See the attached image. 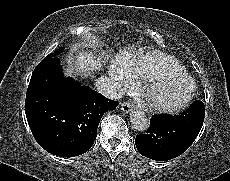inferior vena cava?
I'll use <instances>...</instances> for the list:
<instances>
[{
    "instance_id": "1",
    "label": "inferior vena cava",
    "mask_w": 230,
    "mask_h": 181,
    "mask_svg": "<svg viewBox=\"0 0 230 181\" xmlns=\"http://www.w3.org/2000/svg\"><path fill=\"white\" fill-rule=\"evenodd\" d=\"M96 90L107 98L119 100L124 95L120 84L107 76H101L95 82Z\"/></svg>"
}]
</instances>
